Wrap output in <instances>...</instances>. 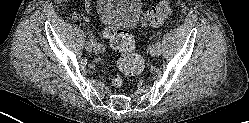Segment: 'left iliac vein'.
Wrapping results in <instances>:
<instances>
[{
    "mask_svg": "<svg viewBox=\"0 0 249 123\" xmlns=\"http://www.w3.org/2000/svg\"><path fill=\"white\" fill-rule=\"evenodd\" d=\"M149 53L151 56H157V46L155 44L149 47Z\"/></svg>",
    "mask_w": 249,
    "mask_h": 123,
    "instance_id": "4c4485c4",
    "label": "left iliac vein"
}]
</instances>
